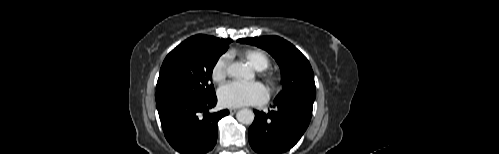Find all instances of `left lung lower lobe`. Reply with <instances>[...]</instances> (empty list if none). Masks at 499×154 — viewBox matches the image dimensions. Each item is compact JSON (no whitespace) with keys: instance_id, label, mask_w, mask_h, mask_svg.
<instances>
[{"instance_id":"obj_1","label":"left lung lower lobe","mask_w":499,"mask_h":154,"mask_svg":"<svg viewBox=\"0 0 499 154\" xmlns=\"http://www.w3.org/2000/svg\"><path fill=\"white\" fill-rule=\"evenodd\" d=\"M315 98L292 97L274 102L268 113L254 110L255 120L249 128V143L259 154H280L292 148L304 134Z\"/></svg>"}]
</instances>
